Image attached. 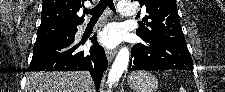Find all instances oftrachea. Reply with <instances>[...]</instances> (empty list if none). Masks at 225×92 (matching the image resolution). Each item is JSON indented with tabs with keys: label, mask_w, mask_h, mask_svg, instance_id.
<instances>
[{
	"label": "trachea",
	"mask_w": 225,
	"mask_h": 92,
	"mask_svg": "<svg viewBox=\"0 0 225 92\" xmlns=\"http://www.w3.org/2000/svg\"><path fill=\"white\" fill-rule=\"evenodd\" d=\"M107 7H109L116 14L113 0H100L94 8L84 9V14H91V19L98 18Z\"/></svg>",
	"instance_id": "3493384b"
}]
</instances>
